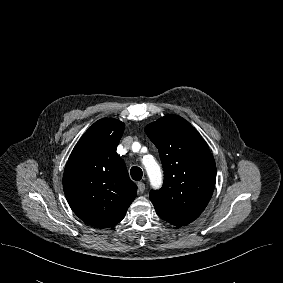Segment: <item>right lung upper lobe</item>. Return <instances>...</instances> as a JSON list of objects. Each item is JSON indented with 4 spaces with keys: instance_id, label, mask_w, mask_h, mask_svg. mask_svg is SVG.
<instances>
[{
    "instance_id": "obj_1",
    "label": "right lung upper lobe",
    "mask_w": 283,
    "mask_h": 283,
    "mask_svg": "<svg viewBox=\"0 0 283 283\" xmlns=\"http://www.w3.org/2000/svg\"><path fill=\"white\" fill-rule=\"evenodd\" d=\"M123 132L119 120H98L80 138L65 166L63 188L70 207L98 228L120 222L137 195V186L116 153Z\"/></svg>"
}]
</instances>
